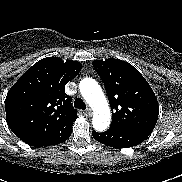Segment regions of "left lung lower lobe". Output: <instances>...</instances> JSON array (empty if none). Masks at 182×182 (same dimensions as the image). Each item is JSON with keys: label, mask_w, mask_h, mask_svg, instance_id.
Wrapping results in <instances>:
<instances>
[{"label": "left lung lower lobe", "mask_w": 182, "mask_h": 182, "mask_svg": "<svg viewBox=\"0 0 182 182\" xmlns=\"http://www.w3.org/2000/svg\"><path fill=\"white\" fill-rule=\"evenodd\" d=\"M93 137L100 143L114 148L133 147L143 142L148 135L127 129L110 127L105 132L92 131Z\"/></svg>", "instance_id": "obj_1"}]
</instances>
